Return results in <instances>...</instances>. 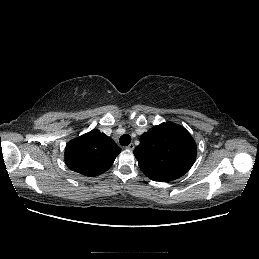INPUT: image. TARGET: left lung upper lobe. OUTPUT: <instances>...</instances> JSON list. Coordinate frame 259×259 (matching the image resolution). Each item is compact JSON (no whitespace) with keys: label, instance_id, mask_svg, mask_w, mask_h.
<instances>
[{"label":"left lung upper lobe","instance_id":"1","mask_svg":"<svg viewBox=\"0 0 259 259\" xmlns=\"http://www.w3.org/2000/svg\"><path fill=\"white\" fill-rule=\"evenodd\" d=\"M197 146L182 126L168 122L154 126L140 137L134 155L151 180L168 182L183 176L194 164Z\"/></svg>","mask_w":259,"mask_h":259}]
</instances>
